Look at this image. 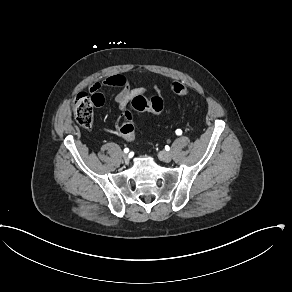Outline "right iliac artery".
<instances>
[{"label":"right iliac artery","mask_w":292,"mask_h":292,"mask_svg":"<svg viewBox=\"0 0 292 292\" xmlns=\"http://www.w3.org/2000/svg\"><path fill=\"white\" fill-rule=\"evenodd\" d=\"M124 152H125V153H128V152H129V149H128V148H125V149H124Z\"/></svg>","instance_id":"right-iliac-artery-1"}]
</instances>
